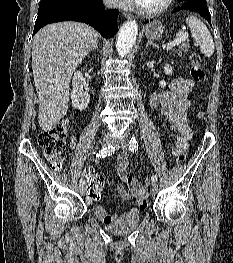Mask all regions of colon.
Returning <instances> with one entry per match:
<instances>
[{
	"mask_svg": "<svg viewBox=\"0 0 233 263\" xmlns=\"http://www.w3.org/2000/svg\"><path fill=\"white\" fill-rule=\"evenodd\" d=\"M190 62L192 79L197 83H201L205 79L201 56L193 53L190 56ZM68 130L69 122L64 119L58 121L50 130L44 131L38 136V144L44 156L56 170H60L63 167L64 161L62 155L66 148ZM185 158L186 152H181L176 156L178 162L184 161ZM85 174L88 190H84V195H87L90 202H99L100 192L103 187V176L100 174L96 175V171H87ZM148 186L149 181L146 180L143 187L147 189Z\"/></svg>",
	"mask_w": 233,
	"mask_h": 263,
	"instance_id": "5ec220e1",
	"label": "colon"
}]
</instances>
